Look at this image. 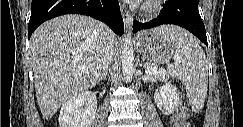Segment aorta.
Returning a JSON list of instances; mask_svg holds the SVG:
<instances>
[{
    "label": "aorta",
    "mask_w": 243,
    "mask_h": 127,
    "mask_svg": "<svg viewBox=\"0 0 243 127\" xmlns=\"http://www.w3.org/2000/svg\"><path fill=\"white\" fill-rule=\"evenodd\" d=\"M134 72V50L132 45L131 34L127 33L124 37V44L122 48V73L125 82L128 83L132 80Z\"/></svg>",
    "instance_id": "obj_1"
}]
</instances>
